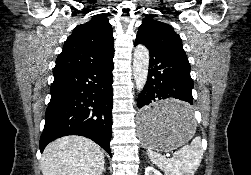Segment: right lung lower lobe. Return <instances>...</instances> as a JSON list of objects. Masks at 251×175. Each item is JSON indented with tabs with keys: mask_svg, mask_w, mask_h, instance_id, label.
<instances>
[{
	"mask_svg": "<svg viewBox=\"0 0 251 175\" xmlns=\"http://www.w3.org/2000/svg\"><path fill=\"white\" fill-rule=\"evenodd\" d=\"M113 61L54 75L40 150L62 136L81 135L111 155Z\"/></svg>",
	"mask_w": 251,
	"mask_h": 175,
	"instance_id": "right-lung-lower-lobe-1",
	"label": "right lung lower lobe"
}]
</instances>
